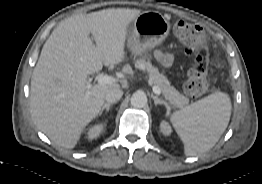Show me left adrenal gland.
Here are the masks:
<instances>
[{"label":"left adrenal gland","instance_id":"obj_1","mask_svg":"<svg viewBox=\"0 0 262 184\" xmlns=\"http://www.w3.org/2000/svg\"><path fill=\"white\" fill-rule=\"evenodd\" d=\"M151 97L154 100L155 106H157V105H164L166 108H169V104L166 101L160 99L159 97H157V96H155L153 94L151 95Z\"/></svg>","mask_w":262,"mask_h":184}]
</instances>
